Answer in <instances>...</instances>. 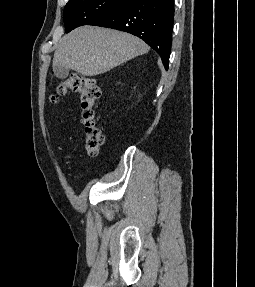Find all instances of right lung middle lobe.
I'll use <instances>...</instances> for the list:
<instances>
[{"instance_id":"obj_1","label":"right lung middle lobe","mask_w":255,"mask_h":287,"mask_svg":"<svg viewBox=\"0 0 255 287\" xmlns=\"http://www.w3.org/2000/svg\"><path fill=\"white\" fill-rule=\"evenodd\" d=\"M127 0H69L64 8L66 33L76 27L90 24L97 17Z\"/></svg>"}]
</instances>
